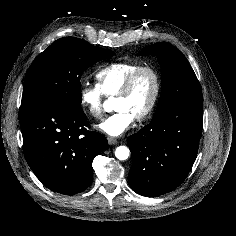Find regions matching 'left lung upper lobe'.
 <instances>
[{"label":"left lung upper lobe","mask_w":236,"mask_h":236,"mask_svg":"<svg viewBox=\"0 0 236 236\" xmlns=\"http://www.w3.org/2000/svg\"><path fill=\"white\" fill-rule=\"evenodd\" d=\"M155 55L162 68V92L152 120L181 105H202L200 83L185 56L176 47L161 42L144 48L138 55Z\"/></svg>","instance_id":"obj_1"}]
</instances>
